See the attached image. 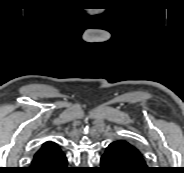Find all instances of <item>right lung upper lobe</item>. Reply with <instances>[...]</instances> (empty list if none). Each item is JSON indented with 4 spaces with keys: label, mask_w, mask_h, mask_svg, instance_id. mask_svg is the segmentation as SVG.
Instances as JSON below:
<instances>
[{
    "label": "right lung upper lobe",
    "mask_w": 184,
    "mask_h": 173,
    "mask_svg": "<svg viewBox=\"0 0 184 173\" xmlns=\"http://www.w3.org/2000/svg\"><path fill=\"white\" fill-rule=\"evenodd\" d=\"M57 146L58 145L56 143L48 141V142H45L36 153L46 152V151H49Z\"/></svg>",
    "instance_id": "1"
}]
</instances>
